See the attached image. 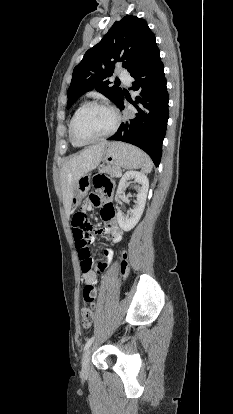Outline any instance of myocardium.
Wrapping results in <instances>:
<instances>
[{
  "label": "myocardium",
  "mask_w": 233,
  "mask_h": 414,
  "mask_svg": "<svg viewBox=\"0 0 233 414\" xmlns=\"http://www.w3.org/2000/svg\"><path fill=\"white\" fill-rule=\"evenodd\" d=\"M90 108H102V109L108 110L113 115V118H114L113 125L108 132H106L105 134L99 137L88 139V140H80L75 135V124L78 118L80 117V115ZM120 123H121V116L119 112L113 106L106 104V103L97 102V101L88 102L84 104L73 116L71 120L70 128H69V136H70V139L78 145H88V144L96 143V142L105 140L111 137L112 135H114L116 131L118 130Z\"/></svg>",
  "instance_id": "obj_1"
}]
</instances>
